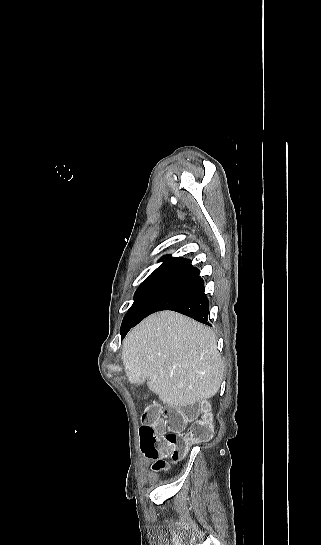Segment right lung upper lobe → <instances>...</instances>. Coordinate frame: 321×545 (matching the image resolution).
<instances>
[{"label":"right lung upper lobe","instance_id":"right-lung-upper-lobe-1","mask_svg":"<svg viewBox=\"0 0 321 545\" xmlns=\"http://www.w3.org/2000/svg\"><path fill=\"white\" fill-rule=\"evenodd\" d=\"M163 260L165 261L158 268L177 270L190 263L188 259L171 257L169 255L164 257Z\"/></svg>","mask_w":321,"mask_h":545}]
</instances>
